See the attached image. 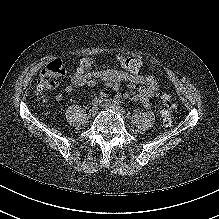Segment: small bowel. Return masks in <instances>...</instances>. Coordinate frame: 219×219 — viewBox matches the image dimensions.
<instances>
[{"label": "small bowel", "mask_w": 219, "mask_h": 219, "mask_svg": "<svg viewBox=\"0 0 219 219\" xmlns=\"http://www.w3.org/2000/svg\"><path fill=\"white\" fill-rule=\"evenodd\" d=\"M82 58L79 67L73 73L64 87V94H69L75 87H94L98 82H103L106 89L117 91L122 84L127 86L124 97L132 101H140L146 108L151 106V100L159 89L158 80L154 75L140 73L142 63L132 57L119 56L118 62L123 69H109L94 71L91 66H84ZM63 94L56 96L61 100Z\"/></svg>", "instance_id": "1"}]
</instances>
